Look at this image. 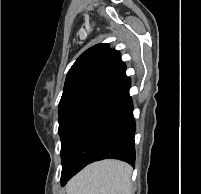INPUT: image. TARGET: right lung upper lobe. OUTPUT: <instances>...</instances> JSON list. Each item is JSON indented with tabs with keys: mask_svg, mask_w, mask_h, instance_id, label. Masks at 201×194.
Masks as SVG:
<instances>
[{
	"mask_svg": "<svg viewBox=\"0 0 201 194\" xmlns=\"http://www.w3.org/2000/svg\"><path fill=\"white\" fill-rule=\"evenodd\" d=\"M120 53L109 44H98L79 56L70 68L59 106L79 99H94L127 75Z\"/></svg>",
	"mask_w": 201,
	"mask_h": 194,
	"instance_id": "right-lung-upper-lobe-1",
	"label": "right lung upper lobe"
}]
</instances>
